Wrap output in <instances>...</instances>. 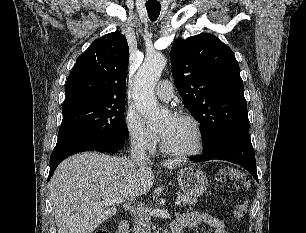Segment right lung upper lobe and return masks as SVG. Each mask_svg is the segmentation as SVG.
I'll return each instance as SVG.
<instances>
[{"label": "right lung upper lobe", "mask_w": 306, "mask_h": 233, "mask_svg": "<svg viewBox=\"0 0 306 233\" xmlns=\"http://www.w3.org/2000/svg\"><path fill=\"white\" fill-rule=\"evenodd\" d=\"M129 47L113 32L95 40L69 75L64 102L81 98L125 100Z\"/></svg>", "instance_id": "1"}]
</instances>
